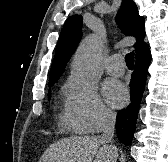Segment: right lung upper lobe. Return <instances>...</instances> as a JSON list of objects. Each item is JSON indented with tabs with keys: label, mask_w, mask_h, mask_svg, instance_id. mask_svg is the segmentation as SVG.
Segmentation results:
<instances>
[{
	"label": "right lung upper lobe",
	"mask_w": 168,
	"mask_h": 162,
	"mask_svg": "<svg viewBox=\"0 0 168 162\" xmlns=\"http://www.w3.org/2000/svg\"><path fill=\"white\" fill-rule=\"evenodd\" d=\"M116 21L125 35L136 38L137 41L133 46L136 58L149 52V46L144 42L145 20L138 14L137 6L133 0L122 1ZM81 26L82 16L74 15L66 20L57 43L49 83L56 82L62 75L67 62L81 39Z\"/></svg>",
	"instance_id": "cb5924a9"
}]
</instances>
